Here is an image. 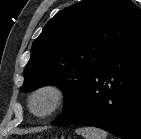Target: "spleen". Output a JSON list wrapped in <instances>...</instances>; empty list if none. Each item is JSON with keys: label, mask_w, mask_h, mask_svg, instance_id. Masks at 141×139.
Here are the masks:
<instances>
[{"label": "spleen", "mask_w": 141, "mask_h": 139, "mask_svg": "<svg viewBox=\"0 0 141 139\" xmlns=\"http://www.w3.org/2000/svg\"><path fill=\"white\" fill-rule=\"evenodd\" d=\"M84 139H107V133L99 128L84 127L76 130Z\"/></svg>", "instance_id": "obj_1"}]
</instances>
